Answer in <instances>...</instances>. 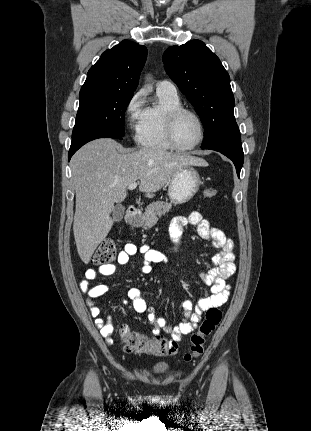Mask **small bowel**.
Here are the masks:
<instances>
[{
    "label": "small bowel",
    "instance_id": "obj_1",
    "mask_svg": "<svg viewBox=\"0 0 311 431\" xmlns=\"http://www.w3.org/2000/svg\"><path fill=\"white\" fill-rule=\"evenodd\" d=\"M187 225L195 226L198 235L203 239L210 240L213 247L219 250L212 258L211 267L200 275L205 283L211 285L210 295L200 299L195 308H193L190 301H185L183 303L185 319L178 326H173L164 318L157 317L155 309L147 305L140 289H129L123 298L124 303L131 302L137 314L147 315L148 319L155 326L154 334H158L160 330H163L171 334L174 342L180 341L183 335L195 329L201 320L203 312L213 307H220L227 302L230 294V286L227 283V279L236 270L233 241L227 238L220 229L211 227L209 222L198 211H193L189 215H178L172 219L169 233L175 245L174 250L179 245L183 230ZM138 252L142 254L141 270L144 274L151 273L153 264L168 263V258L164 253L151 249L146 245L138 248L134 243L129 242L124 245V248L118 254L117 264H127L130 257ZM116 270L117 266L115 264H105L101 265L98 269H88L85 272V279L79 284L81 291L86 295V305L95 320V325L108 344H113V326L109 321L106 322L100 317L101 310L95 300L104 295L109 288L105 284L91 286L90 281L94 280L98 275H113Z\"/></svg>",
    "mask_w": 311,
    "mask_h": 431
}]
</instances>
